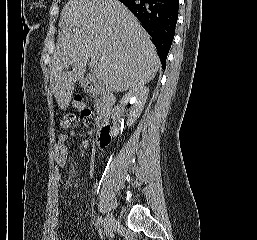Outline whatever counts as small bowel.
Masks as SVG:
<instances>
[{"instance_id": "obj_1", "label": "small bowel", "mask_w": 257, "mask_h": 240, "mask_svg": "<svg viewBox=\"0 0 257 240\" xmlns=\"http://www.w3.org/2000/svg\"><path fill=\"white\" fill-rule=\"evenodd\" d=\"M67 134L62 133L54 144V156L57 163V169L55 172L54 182H55V191H54V199L52 203V215L50 221V239L51 240H60L58 233L56 231L59 218H58V206H59V199H58V186L61 179V171L66 167L67 164V157H68V150L66 146L67 141Z\"/></svg>"}]
</instances>
